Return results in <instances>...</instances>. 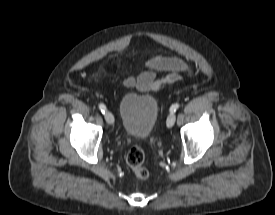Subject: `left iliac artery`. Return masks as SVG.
<instances>
[{"label": "left iliac artery", "instance_id": "44dca946", "mask_svg": "<svg viewBox=\"0 0 275 215\" xmlns=\"http://www.w3.org/2000/svg\"><path fill=\"white\" fill-rule=\"evenodd\" d=\"M179 108V104H173L171 107H170V112H175L177 109Z\"/></svg>", "mask_w": 275, "mask_h": 215}]
</instances>
